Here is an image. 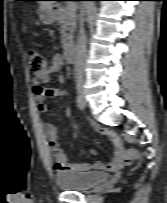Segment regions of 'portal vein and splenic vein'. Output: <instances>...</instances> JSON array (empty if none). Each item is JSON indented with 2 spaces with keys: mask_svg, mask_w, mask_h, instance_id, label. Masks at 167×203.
<instances>
[{
  "mask_svg": "<svg viewBox=\"0 0 167 203\" xmlns=\"http://www.w3.org/2000/svg\"><path fill=\"white\" fill-rule=\"evenodd\" d=\"M75 5L74 4H68L67 6H66V10L67 11H70V12H73V11H75Z\"/></svg>",
  "mask_w": 167,
  "mask_h": 203,
  "instance_id": "18ae733b",
  "label": "portal vein and splenic vein"
}]
</instances>
